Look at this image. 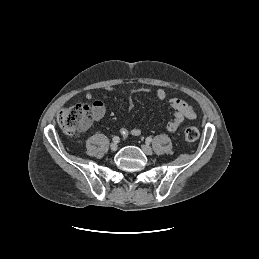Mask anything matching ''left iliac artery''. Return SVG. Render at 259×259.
<instances>
[{"instance_id":"obj_1","label":"left iliac artery","mask_w":259,"mask_h":259,"mask_svg":"<svg viewBox=\"0 0 259 259\" xmlns=\"http://www.w3.org/2000/svg\"><path fill=\"white\" fill-rule=\"evenodd\" d=\"M146 142H147V143L152 142V138H151V137H147V138H146Z\"/></svg>"}]
</instances>
